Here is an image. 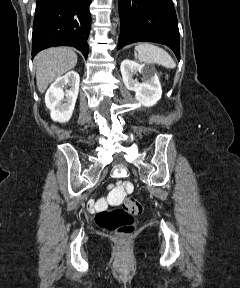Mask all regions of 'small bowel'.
<instances>
[{
  "label": "small bowel",
  "mask_w": 240,
  "mask_h": 288,
  "mask_svg": "<svg viewBox=\"0 0 240 288\" xmlns=\"http://www.w3.org/2000/svg\"><path fill=\"white\" fill-rule=\"evenodd\" d=\"M115 194H116L117 196H122V195H123V192H122V190H121L120 188H117V189L115 190Z\"/></svg>",
  "instance_id": "small-bowel-1"
}]
</instances>
